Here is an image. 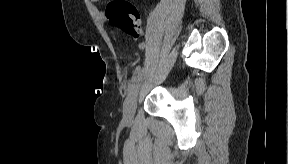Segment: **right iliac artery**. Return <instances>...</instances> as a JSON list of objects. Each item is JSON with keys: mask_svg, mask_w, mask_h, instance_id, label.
<instances>
[{"mask_svg": "<svg viewBox=\"0 0 288 164\" xmlns=\"http://www.w3.org/2000/svg\"><path fill=\"white\" fill-rule=\"evenodd\" d=\"M144 47H145V44H144V43H140V44H139V48H140V49H144ZM137 72H138V69H136V70L134 71V73H133L132 79L130 80V83H129V85H128V89H127V92H128V93H130V91H131V89H132V87H133V85H134V83H135V81H136Z\"/></svg>", "mask_w": 288, "mask_h": 164, "instance_id": "82829eb1", "label": "right iliac artery"}]
</instances>
